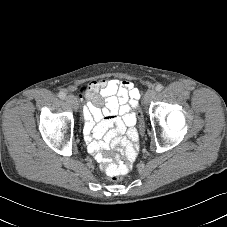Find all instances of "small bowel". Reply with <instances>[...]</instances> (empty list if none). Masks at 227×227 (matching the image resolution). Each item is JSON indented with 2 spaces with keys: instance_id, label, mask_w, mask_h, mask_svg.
Instances as JSON below:
<instances>
[{
  "instance_id": "small-bowel-1",
  "label": "small bowel",
  "mask_w": 227,
  "mask_h": 227,
  "mask_svg": "<svg viewBox=\"0 0 227 227\" xmlns=\"http://www.w3.org/2000/svg\"><path fill=\"white\" fill-rule=\"evenodd\" d=\"M81 92L86 100L84 136L90 153L104 164V152L121 147L127 159L134 160L136 148L131 141L137 135L134 139L130 137L131 132H136V115L132 109L138 105L140 90L128 80L100 79L83 85Z\"/></svg>"
}]
</instances>
